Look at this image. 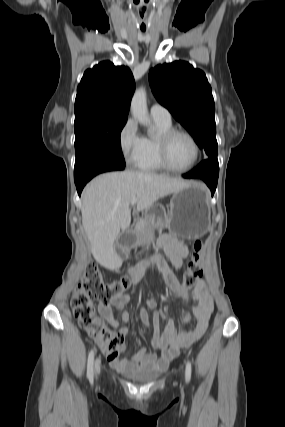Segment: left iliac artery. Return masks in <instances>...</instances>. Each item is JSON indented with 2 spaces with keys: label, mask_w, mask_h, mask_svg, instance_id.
I'll return each mask as SVG.
<instances>
[{
  "label": "left iliac artery",
  "mask_w": 285,
  "mask_h": 427,
  "mask_svg": "<svg viewBox=\"0 0 285 427\" xmlns=\"http://www.w3.org/2000/svg\"><path fill=\"white\" fill-rule=\"evenodd\" d=\"M185 378L187 382L191 379V363L189 361L186 364Z\"/></svg>",
  "instance_id": "1"
}]
</instances>
